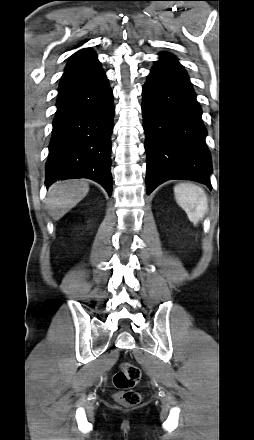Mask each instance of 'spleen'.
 <instances>
[{
    "label": "spleen",
    "mask_w": 254,
    "mask_h": 440,
    "mask_svg": "<svg viewBox=\"0 0 254 440\" xmlns=\"http://www.w3.org/2000/svg\"><path fill=\"white\" fill-rule=\"evenodd\" d=\"M174 195L189 220L197 225L208 210V198L204 189L194 183L184 182L174 187Z\"/></svg>",
    "instance_id": "spleen-1"
}]
</instances>
